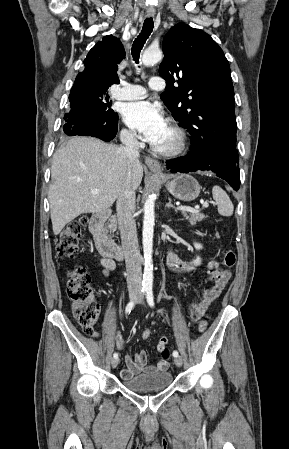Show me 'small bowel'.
Masks as SVG:
<instances>
[{"label":"small bowel","mask_w":289,"mask_h":449,"mask_svg":"<svg viewBox=\"0 0 289 449\" xmlns=\"http://www.w3.org/2000/svg\"><path fill=\"white\" fill-rule=\"evenodd\" d=\"M168 267L176 272H189L195 267L190 262L180 259L175 253L168 252L167 254ZM102 265L104 266V275L108 276L111 271L115 269V263L110 258H103ZM208 278L207 280L214 283V285L203 291L199 301L190 304L189 312L190 318L193 321H197L204 315L211 303L221 294L225 285L231 277V272L228 270H222L216 261H209L207 264ZM115 342L117 346L122 349L124 347V339L122 334L117 331L115 333ZM167 337L160 338L157 344L158 355L163 357L156 365H148V355L146 351L141 350L135 354L134 357L130 355L125 356L126 367L121 370L120 376L122 379H130L142 372L152 373L158 371H166L169 367L168 358L171 356L169 352V344L167 343Z\"/></svg>","instance_id":"small-bowel-1"}]
</instances>
